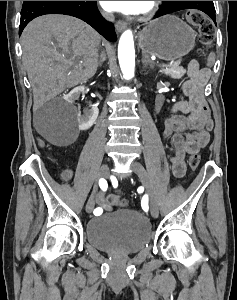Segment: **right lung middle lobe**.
<instances>
[{"mask_svg":"<svg viewBox=\"0 0 237 300\" xmlns=\"http://www.w3.org/2000/svg\"><path fill=\"white\" fill-rule=\"evenodd\" d=\"M32 2H34V1H24L23 5H27V4H30Z\"/></svg>","mask_w":237,"mask_h":300,"instance_id":"dd1d6c3e","label":"right lung middle lobe"}]
</instances>
